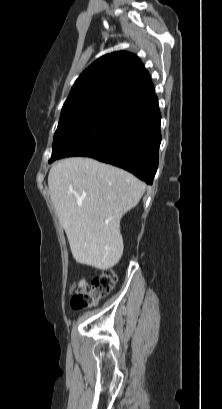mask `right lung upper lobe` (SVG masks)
<instances>
[{
    "label": "right lung upper lobe",
    "mask_w": 222,
    "mask_h": 409,
    "mask_svg": "<svg viewBox=\"0 0 222 409\" xmlns=\"http://www.w3.org/2000/svg\"><path fill=\"white\" fill-rule=\"evenodd\" d=\"M155 97L141 60L120 51L99 58L79 76L62 110L106 103L128 107Z\"/></svg>",
    "instance_id": "cb5924a9"
}]
</instances>
